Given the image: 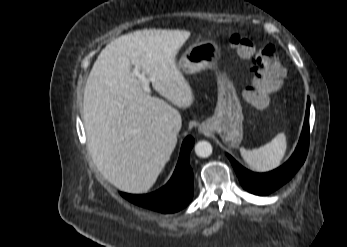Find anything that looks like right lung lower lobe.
<instances>
[{
	"mask_svg": "<svg viewBox=\"0 0 347 247\" xmlns=\"http://www.w3.org/2000/svg\"><path fill=\"white\" fill-rule=\"evenodd\" d=\"M194 139L187 136L182 144L175 171L169 182L161 189L145 195L120 194L139 206L158 211L172 213L186 207L193 197V171L189 164V153Z\"/></svg>",
	"mask_w": 347,
	"mask_h": 247,
	"instance_id": "1",
	"label": "right lung lower lobe"
}]
</instances>
